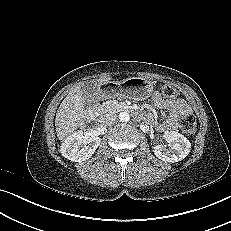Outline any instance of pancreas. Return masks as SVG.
<instances>
[{
  "label": "pancreas",
  "instance_id": "cf45deb5",
  "mask_svg": "<svg viewBox=\"0 0 231 231\" xmlns=\"http://www.w3.org/2000/svg\"><path fill=\"white\" fill-rule=\"evenodd\" d=\"M120 110V105L115 101H106L98 107V111L101 116L109 113H116Z\"/></svg>",
  "mask_w": 231,
  "mask_h": 231
}]
</instances>
